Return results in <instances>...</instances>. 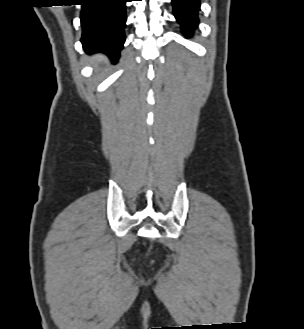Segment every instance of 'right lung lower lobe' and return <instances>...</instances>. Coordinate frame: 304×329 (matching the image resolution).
<instances>
[{
  "mask_svg": "<svg viewBox=\"0 0 304 329\" xmlns=\"http://www.w3.org/2000/svg\"><path fill=\"white\" fill-rule=\"evenodd\" d=\"M82 1L80 18L84 50L88 53L103 52L116 61L125 42L128 0Z\"/></svg>",
  "mask_w": 304,
  "mask_h": 329,
  "instance_id": "right-lung-lower-lobe-1",
  "label": "right lung lower lobe"
}]
</instances>
